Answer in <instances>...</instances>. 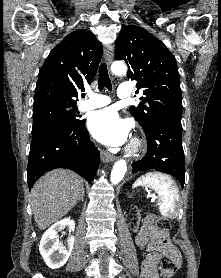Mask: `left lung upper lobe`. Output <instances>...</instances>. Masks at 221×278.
I'll return each instance as SVG.
<instances>
[{
	"instance_id": "5c2ea615",
	"label": "left lung upper lobe",
	"mask_w": 221,
	"mask_h": 278,
	"mask_svg": "<svg viewBox=\"0 0 221 278\" xmlns=\"http://www.w3.org/2000/svg\"><path fill=\"white\" fill-rule=\"evenodd\" d=\"M115 58L128 65L127 77L137 81L145 97L130 113L146 131L153 123L168 119L181 122L182 94L175 57L163 42L144 28L129 25L115 42Z\"/></svg>"
}]
</instances>
